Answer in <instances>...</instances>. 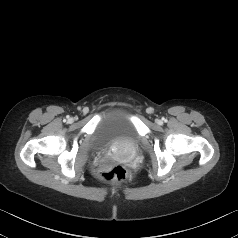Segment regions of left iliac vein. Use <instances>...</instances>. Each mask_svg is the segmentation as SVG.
Wrapping results in <instances>:
<instances>
[{
  "instance_id": "left-iliac-vein-1",
  "label": "left iliac vein",
  "mask_w": 238,
  "mask_h": 238,
  "mask_svg": "<svg viewBox=\"0 0 238 238\" xmlns=\"http://www.w3.org/2000/svg\"><path fill=\"white\" fill-rule=\"evenodd\" d=\"M157 123H158V124H160V123H161V121H160V120H158V121H157Z\"/></svg>"
}]
</instances>
